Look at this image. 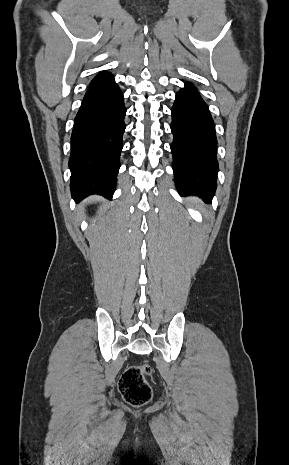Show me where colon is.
I'll return each instance as SVG.
<instances>
[{"label": "colon", "instance_id": "colon-1", "mask_svg": "<svg viewBox=\"0 0 289 465\" xmlns=\"http://www.w3.org/2000/svg\"><path fill=\"white\" fill-rule=\"evenodd\" d=\"M151 373L152 369L147 364L130 366L124 371L118 388L127 403L142 406L149 402L152 390L146 378Z\"/></svg>", "mask_w": 289, "mask_h": 465}]
</instances>
